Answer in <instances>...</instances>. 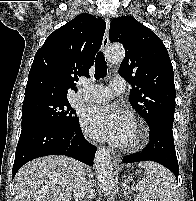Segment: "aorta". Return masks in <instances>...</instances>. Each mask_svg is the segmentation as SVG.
Instances as JSON below:
<instances>
[{
  "instance_id": "obj_1",
  "label": "aorta",
  "mask_w": 196,
  "mask_h": 201,
  "mask_svg": "<svg viewBox=\"0 0 196 201\" xmlns=\"http://www.w3.org/2000/svg\"><path fill=\"white\" fill-rule=\"evenodd\" d=\"M125 56L124 48L121 45H111L106 51V58L109 62L118 64ZM95 171L99 186L105 196H109L114 186L113 166L109 150L99 148L96 152Z\"/></svg>"
}]
</instances>
